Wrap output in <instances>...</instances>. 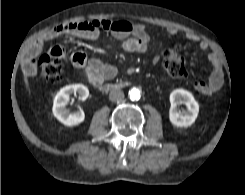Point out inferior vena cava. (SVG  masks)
I'll list each match as a JSON object with an SVG mask.
<instances>
[{
    "instance_id": "inferior-vena-cava-1",
    "label": "inferior vena cava",
    "mask_w": 245,
    "mask_h": 195,
    "mask_svg": "<svg viewBox=\"0 0 245 195\" xmlns=\"http://www.w3.org/2000/svg\"><path fill=\"white\" fill-rule=\"evenodd\" d=\"M124 99V93L123 91L119 90V89H114L110 91L109 94V100L112 102H119L122 101Z\"/></svg>"
}]
</instances>
